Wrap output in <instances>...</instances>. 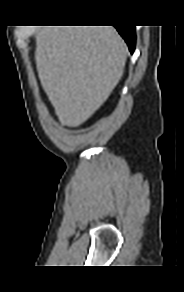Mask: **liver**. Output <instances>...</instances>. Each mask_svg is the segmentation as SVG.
Returning a JSON list of instances; mask_svg holds the SVG:
<instances>
[{"instance_id": "6515ba94", "label": "liver", "mask_w": 184, "mask_h": 292, "mask_svg": "<svg viewBox=\"0 0 184 292\" xmlns=\"http://www.w3.org/2000/svg\"><path fill=\"white\" fill-rule=\"evenodd\" d=\"M127 46L112 26H47L36 35L35 61L60 123L77 127L119 83Z\"/></svg>"}]
</instances>
